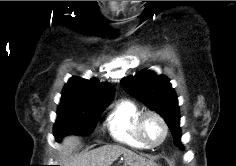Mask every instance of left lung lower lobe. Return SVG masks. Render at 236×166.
<instances>
[{"label":"left lung lower lobe","mask_w":236,"mask_h":166,"mask_svg":"<svg viewBox=\"0 0 236 166\" xmlns=\"http://www.w3.org/2000/svg\"><path fill=\"white\" fill-rule=\"evenodd\" d=\"M172 134H173V138H174V144L177 145L180 149H183V146L181 144V131L179 128V123L169 126Z\"/></svg>","instance_id":"1"}]
</instances>
